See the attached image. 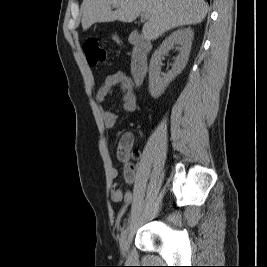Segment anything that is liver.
I'll return each mask as SVG.
<instances>
[{
  "label": "liver",
  "instance_id": "liver-1",
  "mask_svg": "<svg viewBox=\"0 0 267 267\" xmlns=\"http://www.w3.org/2000/svg\"><path fill=\"white\" fill-rule=\"evenodd\" d=\"M113 5L116 10H111ZM82 28L89 29L99 22H133L146 13L142 34L148 41L166 31L184 25L201 23L208 12L204 0H83Z\"/></svg>",
  "mask_w": 267,
  "mask_h": 267
}]
</instances>
